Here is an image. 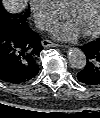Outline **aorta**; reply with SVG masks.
Masks as SVG:
<instances>
[{
	"label": "aorta",
	"instance_id": "aorta-1",
	"mask_svg": "<svg viewBox=\"0 0 100 118\" xmlns=\"http://www.w3.org/2000/svg\"><path fill=\"white\" fill-rule=\"evenodd\" d=\"M68 60L73 68L83 69L86 65V56L79 48H70L68 50Z\"/></svg>",
	"mask_w": 100,
	"mask_h": 118
}]
</instances>
